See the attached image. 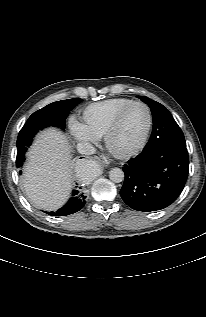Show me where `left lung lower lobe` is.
<instances>
[{
  "mask_svg": "<svg viewBox=\"0 0 206 317\" xmlns=\"http://www.w3.org/2000/svg\"><path fill=\"white\" fill-rule=\"evenodd\" d=\"M123 171V201L138 211L161 210L172 204L184 188L189 171L188 151L178 144L144 149L124 165Z\"/></svg>",
  "mask_w": 206,
  "mask_h": 317,
  "instance_id": "1",
  "label": "left lung lower lobe"
}]
</instances>
